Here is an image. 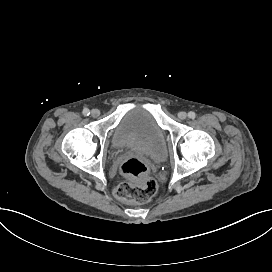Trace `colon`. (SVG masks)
<instances>
[{
	"label": "colon",
	"mask_w": 272,
	"mask_h": 272,
	"mask_svg": "<svg viewBox=\"0 0 272 272\" xmlns=\"http://www.w3.org/2000/svg\"><path fill=\"white\" fill-rule=\"evenodd\" d=\"M149 166L144 159L131 158L121 163L119 172L128 181L115 191L137 203L148 201L158 190V183L148 175Z\"/></svg>",
	"instance_id": "obj_1"
}]
</instances>
